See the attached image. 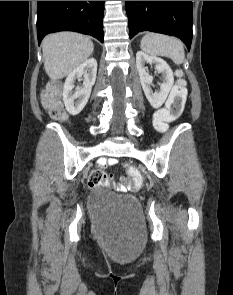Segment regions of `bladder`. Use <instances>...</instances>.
Wrapping results in <instances>:
<instances>
[{"mask_svg":"<svg viewBox=\"0 0 233 295\" xmlns=\"http://www.w3.org/2000/svg\"><path fill=\"white\" fill-rule=\"evenodd\" d=\"M88 207L98 222L130 218L138 215L140 209L134 197L116 194L99 186L89 195Z\"/></svg>","mask_w":233,"mask_h":295,"instance_id":"31cf9c89","label":"bladder"}]
</instances>
